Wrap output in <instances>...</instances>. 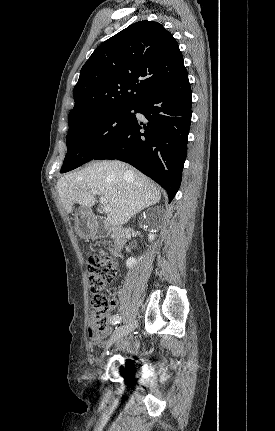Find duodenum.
Returning a JSON list of instances; mask_svg holds the SVG:
<instances>
[{
  "label": "duodenum",
  "mask_w": 275,
  "mask_h": 431,
  "mask_svg": "<svg viewBox=\"0 0 275 431\" xmlns=\"http://www.w3.org/2000/svg\"><path fill=\"white\" fill-rule=\"evenodd\" d=\"M105 228L109 229L111 231L113 240H114V254L118 255L123 248V246L127 242V234L126 231L121 227H115L111 226L108 223L104 224ZM103 233V230L101 228V225L99 223V220L97 218H94L91 220L90 226H89V234L92 237H100Z\"/></svg>",
  "instance_id": "duodenum-1"
}]
</instances>
